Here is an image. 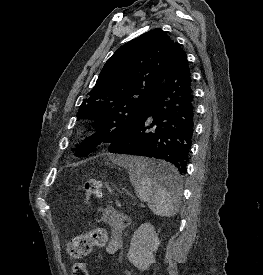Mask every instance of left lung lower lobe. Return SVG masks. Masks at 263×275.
<instances>
[{"instance_id": "obj_1", "label": "left lung lower lobe", "mask_w": 263, "mask_h": 275, "mask_svg": "<svg viewBox=\"0 0 263 275\" xmlns=\"http://www.w3.org/2000/svg\"><path fill=\"white\" fill-rule=\"evenodd\" d=\"M195 115L191 73L186 54L179 49L137 125L129 134L112 142L108 151L169 162V168L153 167L148 175L172 190L180 175L187 171Z\"/></svg>"}]
</instances>
